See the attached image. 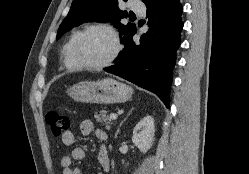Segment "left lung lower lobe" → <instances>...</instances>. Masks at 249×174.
I'll list each match as a JSON object with an SVG mask.
<instances>
[{"mask_svg":"<svg viewBox=\"0 0 249 174\" xmlns=\"http://www.w3.org/2000/svg\"><path fill=\"white\" fill-rule=\"evenodd\" d=\"M145 5L148 25L154 33L143 34L139 44L132 40L133 35L124 39L125 48L116 65L105 71L152 91L169 107L172 69L183 28V7L179 0H148ZM152 15L157 22H153Z\"/></svg>","mask_w":249,"mask_h":174,"instance_id":"0a47b994","label":"left lung lower lobe"}]
</instances>
